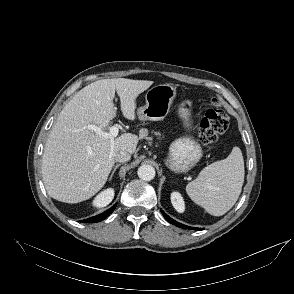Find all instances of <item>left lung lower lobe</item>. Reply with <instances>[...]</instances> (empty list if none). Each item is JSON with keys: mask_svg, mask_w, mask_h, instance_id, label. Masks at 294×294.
Returning <instances> with one entry per match:
<instances>
[{"mask_svg": "<svg viewBox=\"0 0 294 294\" xmlns=\"http://www.w3.org/2000/svg\"><path fill=\"white\" fill-rule=\"evenodd\" d=\"M162 214L163 216L167 219L168 222H170L171 224L177 226V227H180V228H184V229H194V230H202V228H193V227H189V226H186V225H183L181 223H178L176 222L175 220H173L172 218H170L167 214H165L163 211H162Z\"/></svg>", "mask_w": 294, "mask_h": 294, "instance_id": "obj_1", "label": "left lung lower lobe"}]
</instances>
